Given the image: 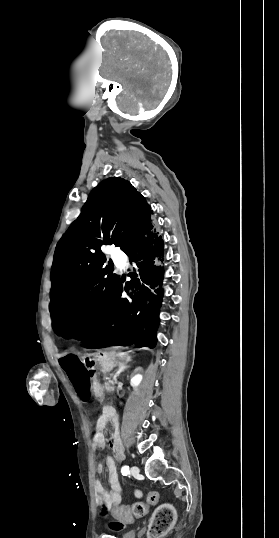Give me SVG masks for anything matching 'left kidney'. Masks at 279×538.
Masks as SVG:
<instances>
[{
	"label": "left kidney",
	"mask_w": 279,
	"mask_h": 538,
	"mask_svg": "<svg viewBox=\"0 0 279 538\" xmlns=\"http://www.w3.org/2000/svg\"><path fill=\"white\" fill-rule=\"evenodd\" d=\"M141 382H142V376H140V374H136V376H133V378H131L130 380V384L131 386H133V388H136V386H139Z\"/></svg>",
	"instance_id": "5707ae66"
}]
</instances>
